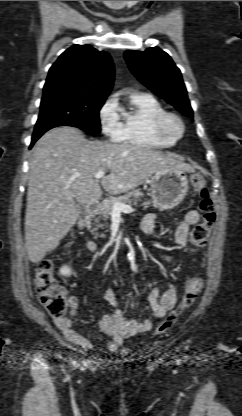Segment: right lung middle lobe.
Returning <instances> with one entry per match:
<instances>
[{
    "label": "right lung middle lobe",
    "mask_w": 242,
    "mask_h": 416,
    "mask_svg": "<svg viewBox=\"0 0 242 416\" xmlns=\"http://www.w3.org/2000/svg\"><path fill=\"white\" fill-rule=\"evenodd\" d=\"M105 98L55 94L41 100L33 135H42L57 126H73L88 133H100L99 110Z\"/></svg>",
    "instance_id": "right-lung-middle-lobe-1"
}]
</instances>
